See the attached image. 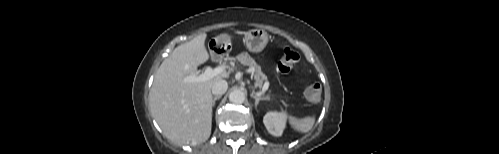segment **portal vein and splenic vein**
<instances>
[{
  "label": "portal vein and splenic vein",
  "instance_id": "18ae733b",
  "mask_svg": "<svg viewBox=\"0 0 499 154\" xmlns=\"http://www.w3.org/2000/svg\"><path fill=\"white\" fill-rule=\"evenodd\" d=\"M226 66H218L216 68L207 67L205 71L198 76H187L184 78L185 82H204L216 77L219 74L226 72ZM269 84L265 83L260 94H263L268 89Z\"/></svg>",
  "mask_w": 499,
  "mask_h": 154
}]
</instances>
